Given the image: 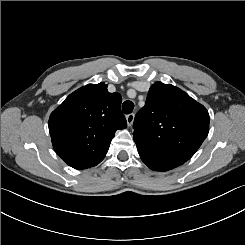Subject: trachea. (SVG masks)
<instances>
[{
	"instance_id": "3493384b",
	"label": "trachea",
	"mask_w": 245,
	"mask_h": 245,
	"mask_svg": "<svg viewBox=\"0 0 245 245\" xmlns=\"http://www.w3.org/2000/svg\"><path fill=\"white\" fill-rule=\"evenodd\" d=\"M133 109H134V104L132 101L127 100L122 105V111L125 114H130L133 111Z\"/></svg>"
}]
</instances>
